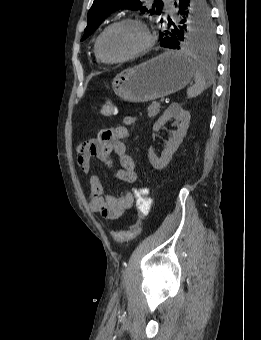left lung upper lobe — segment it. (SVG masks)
<instances>
[{"label": "left lung upper lobe", "mask_w": 261, "mask_h": 340, "mask_svg": "<svg viewBox=\"0 0 261 340\" xmlns=\"http://www.w3.org/2000/svg\"><path fill=\"white\" fill-rule=\"evenodd\" d=\"M154 1L156 4L148 11L151 15L160 14L163 7L162 1ZM121 8L147 12L142 0H94L87 15V27L81 41L90 36L110 13ZM182 17L180 22L169 24L173 29L159 33L160 42L165 36L172 35L178 38V49L188 47L213 52L216 48L215 31L205 0H190V5Z\"/></svg>", "instance_id": "obj_1"}]
</instances>
